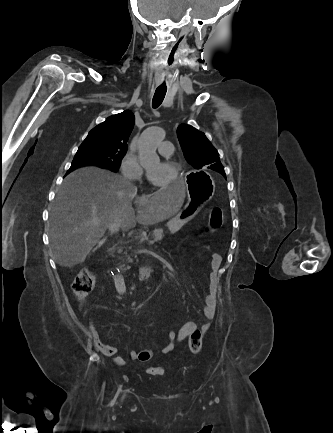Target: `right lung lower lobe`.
Segmentation results:
<instances>
[{
    "instance_id": "right-lung-lower-lobe-1",
    "label": "right lung lower lobe",
    "mask_w": 333,
    "mask_h": 433,
    "mask_svg": "<svg viewBox=\"0 0 333 433\" xmlns=\"http://www.w3.org/2000/svg\"><path fill=\"white\" fill-rule=\"evenodd\" d=\"M87 165H92V164H72L71 167H70V169H69V171L67 172V174L70 173L71 171H73L76 168H79V167H82V166H87Z\"/></svg>"
}]
</instances>
